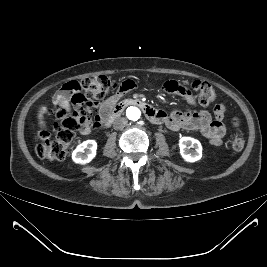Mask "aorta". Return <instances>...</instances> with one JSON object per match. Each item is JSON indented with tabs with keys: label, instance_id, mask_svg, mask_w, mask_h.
I'll return each mask as SVG.
<instances>
[{
	"label": "aorta",
	"instance_id": "1",
	"mask_svg": "<svg viewBox=\"0 0 267 267\" xmlns=\"http://www.w3.org/2000/svg\"><path fill=\"white\" fill-rule=\"evenodd\" d=\"M126 116L131 121H138L141 118V110L136 106H130L126 110Z\"/></svg>",
	"mask_w": 267,
	"mask_h": 267
}]
</instances>
